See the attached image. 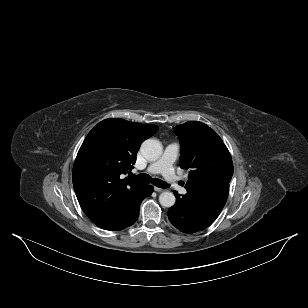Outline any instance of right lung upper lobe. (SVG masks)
I'll list each match as a JSON object with an SVG mask.
<instances>
[{"instance_id":"obj_1","label":"right lung upper lobe","mask_w":308,"mask_h":308,"mask_svg":"<svg viewBox=\"0 0 308 308\" xmlns=\"http://www.w3.org/2000/svg\"><path fill=\"white\" fill-rule=\"evenodd\" d=\"M157 130L156 125L109 118L85 138L73 166V186L96 225L117 222L130 210L144 185L123 176L132 170L142 142Z\"/></svg>"}]
</instances>
